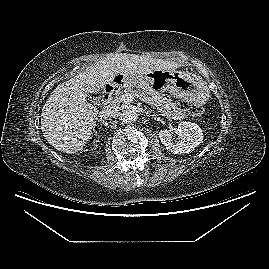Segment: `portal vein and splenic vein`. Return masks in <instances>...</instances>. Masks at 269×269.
I'll use <instances>...</instances> for the list:
<instances>
[{
    "label": "portal vein and splenic vein",
    "instance_id": "18ae733b",
    "mask_svg": "<svg viewBox=\"0 0 269 269\" xmlns=\"http://www.w3.org/2000/svg\"><path fill=\"white\" fill-rule=\"evenodd\" d=\"M118 100L123 101L124 103L132 102L134 99V96L128 93H125L123 95H120L117 97Z\"/></svg>",
    "mask_w": 269,
    "mask_h": 269
}]
</instances>
